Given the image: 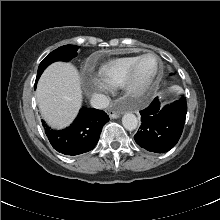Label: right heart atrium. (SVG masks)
I'll use <instances>...</instances> for the list:
<instances>
[{
	"mask_svg": "<svg viewBox=\"0 0 220 220\" xmlns=\"http://www.w3.org/2000/svg\"><path fill=\"white\" fill-rule=\"evenodd\" d=\"M86 89L93 97L105 98L112 87L100 78H91L86 83Z\"/></svg>",
	"mask_w": 220,
	"mask_h": 220,
	"instance_id": "d8ad5b80",
	"label": "right heart atrium"
}]
</instances>
